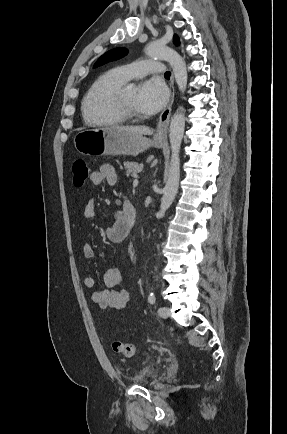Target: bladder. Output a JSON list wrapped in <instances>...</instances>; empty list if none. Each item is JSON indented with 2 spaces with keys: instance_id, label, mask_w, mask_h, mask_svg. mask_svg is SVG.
Segmentation results:
<instances>
[{
  "instance_id": "31cf9c89",
  "label": "bladder",
  "mask_w": 287,
  "mask_h": 434,
  "mask_svg": "<svg viewBox=\"0 0 287 434\" xmlns=\"http://www.w3.org/2000/svg\"><path fill=\"white\" fill-rule=\"evenodd\" d=\"M158 366L153 363H146L133 377V381L138 385H145L156 378Z\"/></svg>"
}]
</instances>
